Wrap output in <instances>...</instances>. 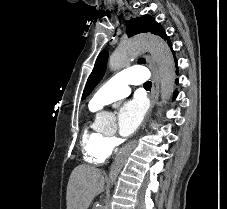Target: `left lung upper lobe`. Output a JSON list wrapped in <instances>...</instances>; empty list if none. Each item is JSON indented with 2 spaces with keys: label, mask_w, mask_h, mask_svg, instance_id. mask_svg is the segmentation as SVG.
<instances>
[{
  "label": "left lung upper lobe",
  "mask_w": 227,
  "mask_h": 209,
  "mask_svg": "<svg viewBox=\"0 0 227 209\" xmlns=\"http://www.w3.org/2000/svg\"><path fill=\"white\" fill-rule=\"evenodd\" d=\"M126 32L128 34V37H132L139 33L150 32L152 34L162 37L164 40H167V43L169 44V46L170 47L172 46L169 40V37L166 35L163 27L159 23H157L155 19L152 18L150 15H145L135 19H131L127 23ZM107 60H108V51L106 50L101 51L97 57L94 69L87 80V83L82 95V100L85 99L91 93L94 87L102 79L105 73ZM138 62L144 63L145 60L139 59Z\"/></svg>",
  "instance_id": "left-lung-upper-lobe-1"
}]
</instances>
